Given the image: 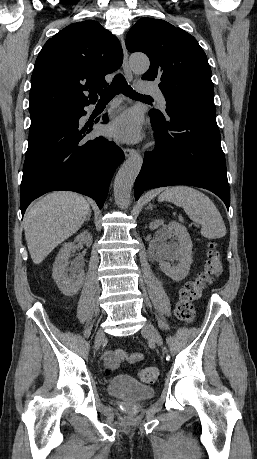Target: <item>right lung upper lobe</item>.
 <instances>
[{
	"mask_svg": "<svg viewBox=\"0 0 257 459\" xmlns=\"http://www.w3.org/2000/svg\"><path fill=\"white\" fill-rule=\"evenodd\" d=\"M122 61L118 39L99 22L70 24L45 43L36 59L30 114L96 101V92L107 86L105 75L117 70Z\"/></svg>",
	"mask_w": 257,
	"mask_h": 459,
	"instance_id": "right-lung-upper-lobe-1",
	"label": "right lung upper lobe"
}]
</instances>
